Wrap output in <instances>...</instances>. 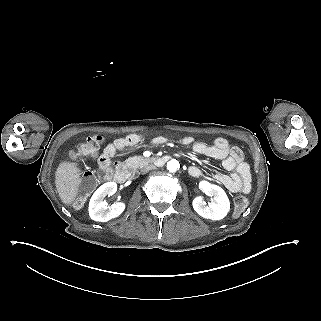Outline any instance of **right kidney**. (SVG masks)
<instances>
[{"label": "right kidney", "instance_id": "right-kidney-1", "mask_svg": "<svg viewBox=\"0 0 321 321\" xmlns=\"http://www.w3.org/2000/svg\"><path fill=\"white\" fill-rule=\"evenodd\" d=\"M117 191L115 182H107L101 185L93 194L89 202V215L94 221L107 222L118 217L125 209V204L122 202L114 203L107 206L106 201H103L106 195H113Z\"/></svg>", "mask_w": 321, "mask_h": 321}]
</instances>
